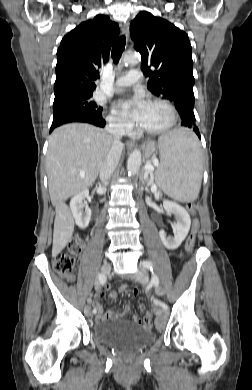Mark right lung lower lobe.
<instances>
[{
	"label": "right lung lower lobe",
	"mask_w": 252,
	"mask_h": 390,
	"mask_svg": "<svg viewBox=\"0 0 252 390\" xmlns=\"http://www.w3.org/2000/svg\"><path fill=\"white\" fill-rule=\"evenodd\" d=\"M70 122H85V123L94 124L99 127L105 126V121L102 118V116H94L87 113L69 111V112H62L54 115L50 132L54 128Z\"/></svg>",
	"instance_id": "right-lung-lower-lobe-1"
}]
</instances>
